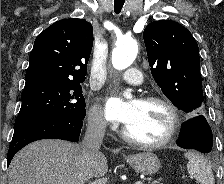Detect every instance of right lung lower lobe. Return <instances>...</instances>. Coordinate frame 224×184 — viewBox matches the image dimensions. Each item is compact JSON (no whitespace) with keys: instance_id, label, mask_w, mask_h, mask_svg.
Listing matches in <instances>:
<instances>
[{"instance_id":"right-lung-lower-lobe-1","label":"right lung lower lobe","mask_w":224,"mask_h":184,"mask_svg":"<svg viewBox=\"0 0 224 184\" xmlns=\"http://www.w3.org/2000/svg\"><path fill=\"white\" fill-rule=\"evenodd\" d=\"M82 127V120L44 117L29 121L15 128L8 150L7 165L10 164L17 151L36 140L51 138L77 142Z\"/></svg>"}]
</instances>
